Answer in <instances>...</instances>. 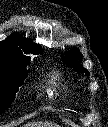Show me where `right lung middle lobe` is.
I'll return each instance as SVG.
<instances>
[{"instance_id": "dd1d6c3e", "label": "right lung middle lobe", "mask_w": 108, "mask_h": 127, "mask_svg": "<svg viewBox=\"0 0 108 127\" xmlns=\"http://www.w3.org/2000/svg\"><path fill=\"white\" fill-rule=\"evenodd\" d=\"M27 75V65L0 62V114L11 105Z\"/></svg>"}]
</instances>
